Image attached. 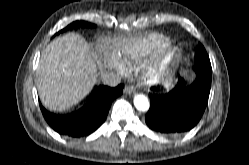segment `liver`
<instances>
[{
  "mask_svg": "<svg viewBox=\"0 0 249 165\" xmlns=\"http://www.w3.org/2000/svg\"><path fill=\"white\" fill-rule=\"evenodd\" d=\"M111 40L100 38L98 50L108 53ZM114 45L121 43L113 41ZM98 56L79 34L69 32L55 38L43 50L38 70V92L43 105L54 112L69 111L93 90L97 83Z\"/></svg>",
  "mask_w": 249,
  "mask_h": 165,
  "instance_id": "obj_1",
  "label": "liver"
}]
</instances>
